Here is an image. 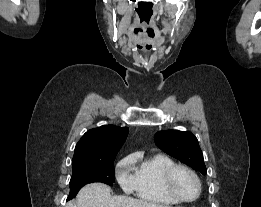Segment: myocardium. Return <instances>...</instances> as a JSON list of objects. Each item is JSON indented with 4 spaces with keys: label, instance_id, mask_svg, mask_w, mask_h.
Segmentation results:
<instances>
[{
    "label": "myocardium",
    "instance_id": "1",
    "mask_svg": "<svg viewBox=\"0 0 261 207\" xmlns=\"http://www.w3.org/2000/svg\"><path fill=\"white\" fill-rule=\"evenodd\" d=\"M179 170L186 171L196 181L198 191H197V194H196L195 197H193L191 199L183 198L175 190L174 185H173V180H174V176H175L176 172L179 171ZM163 183H164V188H165L166 192L173 199H175L177 202H180V203L194 202L195 200H197L199 198L201 191H202V184H201L200 178L198 177L196 172L193 169H191L190 167L183 165V164H174L173 166L169 167L164 174Z\"/></svg>",
    "mask_w": 261,
    "mask_h": 207
}]
</instances>
